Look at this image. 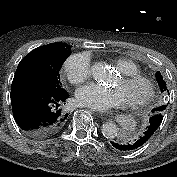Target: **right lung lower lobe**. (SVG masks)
<instances>
[{"label":"right lung lower lobe","instance_id":"98d812e1","mask_svg":"<svg viewBox=\"0 0 177 177\" xmlns=\"http://www.w3.org/2000/svg\"><path fill=\"white\" fill-rule=\"evenodd\" d=\"M69 97L65 91L54 94L35 89H12L11 104L18 126L32 138L56 134L67 122L64 105Z\"/></svg>","mask_w":177,"mask_h":177}]
</instances>
